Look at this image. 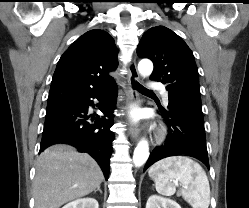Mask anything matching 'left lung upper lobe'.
Segmentation results:
<instances>
[{"label": "left lung upper lobe", "mask_w": 249, "mask_h": 208, "mask_svg": "<svg viewBox=\"0 0 249 208\" xmlns=\"http://www.w3.org/2000/svg\"><path fill=\"white\" fill-rule=\"evenodd\" d=\"M137 55L154 63L150 79L165 84L170 96L202 107L193 53L172 30L164 26L147 30L138 45Z\"/></svg>", "instance_id": "left-lung-upper-lobe-1"}]
</instances>
